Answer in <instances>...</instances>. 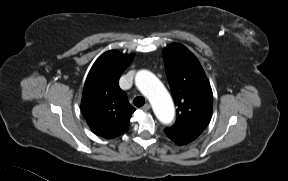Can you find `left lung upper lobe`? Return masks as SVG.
Instances as JSON below:
<instances>
[{
  "instance_id": "1",
  "label": "left lung upper lobe",
  "mask_w": 288,
  "mask_h": 181,
  "mask_svg": "<svg viewBox=\"0 0 288 181\" xmlns=\"http://www.w3.org/2000/svg\"><path fill=\"white\" fill-rule=\"evenodd\" d=\"M166 74L177 109V121L164 132L199 136L212 116L213 94L197 58L183 45L163 50Z\"/></svg>"
}]
</instances>
